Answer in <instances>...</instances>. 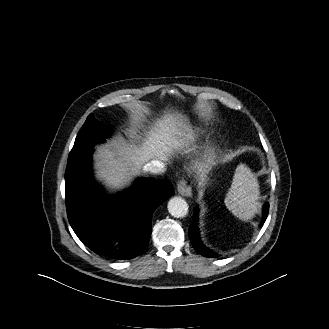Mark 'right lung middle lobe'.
<instances>
[{
	"mask_svg": "<svg viewBox=\"0 0 329 329\" xmlns=\"http://www.w3.org/2000/svg\"><path fill=\"white\" fill-rule=\"evenodd\" d=\"M111 132L112 130L109 126L97 121L94 116L90 114L75 139L67 163L72 162L86 151L92 149L95 143L104 141Z\"/></svg>",
	"mask_w": 329,
	"mask_h": 329,
	"instance_id": "obj_1",
	"label": "right lung middle lobe"
}]
</instances>
